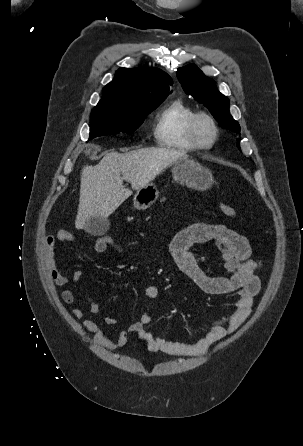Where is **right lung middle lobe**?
Listing matches in <instances>:
<instances>
[{
    "instance_id": "obj_1",
    "label": "right lung middle lobe",
    "mask_w": 303,
    "mask_h": 446,
    "mask_svg": "<svg viewBox=\"0 0 303 446\" xmlns=\"http://www.w3.org/2000/svg\"><path fill=\"white\" fill-rule=\"evenodd\" d=\"M160 104L142 110L94 108L91 114L90 138L119 132L132 133L143 123V117Z\"/></svg>"
}]
</instances>
